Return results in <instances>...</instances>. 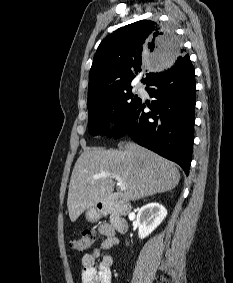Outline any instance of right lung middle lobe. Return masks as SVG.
Segmentation results:
<instances>
[{
  "label": "right lung middle lobe",
  "mask_w": 233,
  "mask_h": 283,
  "mask_svg": "<svg viewBox=\"0 0 233 283\" xmlns=\"http://www.w3.org/2000/svg\"><path fill=\"white\" fill-rule=\"evenodd\" d=\"M131 89L130 87L112 94L88 107V123L91 134L107 135L109 137L113 135L107 131L108 119L114 115L116 127H119L140 101L137 96L131 93ZM112 110H114L113 114L111 113Z\"/></svg>",
  "instance_id": "obj_1"
}]
</instances>
